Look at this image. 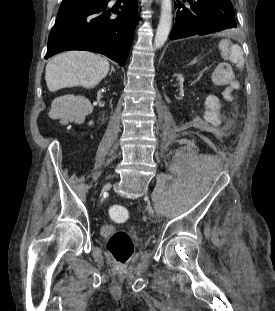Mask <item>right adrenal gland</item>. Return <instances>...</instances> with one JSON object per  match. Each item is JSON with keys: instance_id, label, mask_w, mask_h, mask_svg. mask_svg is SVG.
I'll return each instance as SVG.
<instances>
[{"instance_id": "1", "label": "right adrenal gland", "mask_w": 275, "mask_h": 311, "mask_svg": "<svg viewBox=\"0 0 275 311\" xmlns=\"http://www.w3.org/2000/svg\"><path fill=\"white\" fill-rule=\"evenodd\" d=\"M112 72H115L113 65H111V71H110L109 75H111Z\"/></svg>"}]
</instances>
